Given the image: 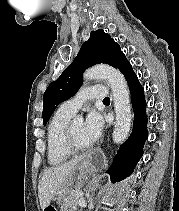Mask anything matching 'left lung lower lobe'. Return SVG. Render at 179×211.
Here are the masks:
<instances>
[{
	"mask_svg": "<svg viewBox=\"0 0 179 211\" xmlns=\"http://www.w3.org/2000/svg\"><path fill=\"white\" fill-rule=\"evenodd\" d=\"M117 68L124 74L128 82L135 117L130 137L120 146L111 167L107 171L112 182L121 181L132 174L143 155V146L148 137L144 89L126 57L120 61Z\"/></svg>",
	"mask_w": 179,
	"mask_h": 211,
	"instance_id": "left-lung-lower-lobe-1",
	"label": "left lung lower lobe"
}]
</instances>
